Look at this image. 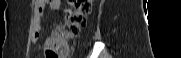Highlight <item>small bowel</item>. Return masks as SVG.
Listing matches in <instances>:
<instances>
[{
	"label": "small bowel",
	"instance_id": "c3829d8e",
	"mask_svg": "<svg viewBox=\"0 0 181 58\" xmlns=\"http://www.w3.org/2000/svg\"><path fill=\"white\" fill-rule=\"evenodd\" d=\"M61 7V1L60 0H36L34 4V18H35V24H34V41H37L40 36V19L43 16L46 8H49L50 10H58ZM55 33H52L49 38L53 37ZM48 38V39H49Z\"/></svg>",
	"mask_w": 181,
	"mask_h": 58
}]
</instances>
